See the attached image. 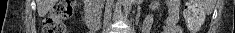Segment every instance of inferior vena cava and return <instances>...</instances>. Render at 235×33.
Here are the masks:
<instances>
[{"label":"inferior vena cava","instance_id":"inferior-vena-cava-1","mask_svg":"<svg viewBox=\"0 0 235 33\" xmlns=\"http://www.w3.org/2000/svg\"><path fill=\"white\" fill-rule=\"evenodd\" d=\"M111 17V7H107L106 9V19H109Z\"/></svg>","mask_w":235,"mask_h":33}]
</instances>
